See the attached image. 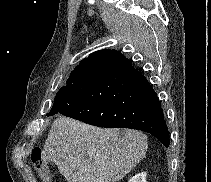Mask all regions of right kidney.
I'll use <instances>...</instances> for the list:
<instances>
[{"instance_id":"obj_1","label":"right kidney","mask_w":211,"mask_h":182,"mask_svg":"<svg viewBox=\"0 0 211 182\" xmlns=\"http://www.w3.org/2000/svg\"><path fill=\"white\" fill-rule=\"evenodd\" d=\"M128 182H147L146 173L142 172L130 178Z\"/></svg>"}]
</instances>
